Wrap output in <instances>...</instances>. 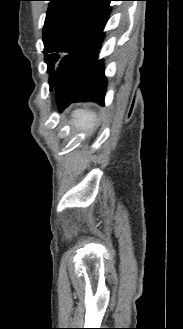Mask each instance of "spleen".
<instances>
[{"instance_id": "1", "label": "spleen", "mask_w": 183, "mask_h": 329, "mask_svg": "<svg viewBox=\"0 0 183 329\" xmlns=\"http://www.w3.org/2000/svg\"><path fill=\"white\" fill-rule=\"evenodd\" d=\"M71 124L78 131H92L98 119L93 111L77 109L72 113Z\"/></svg>"}]
</instances>
